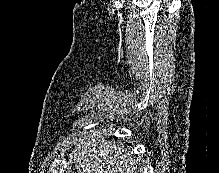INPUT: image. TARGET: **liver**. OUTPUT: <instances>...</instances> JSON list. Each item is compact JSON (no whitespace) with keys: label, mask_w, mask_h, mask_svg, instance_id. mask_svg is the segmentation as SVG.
I'll use <instances>...</instances> for the list:
<instances>
[{"label":"liver","mask_w":219,"mask_h":173,"mask_svg":"<svg viewBox=\"0 0 219 173\" xmlns=\"http://www.w3.org/2000/svg\"><path fill=\"white\" fill-rule=\"evenodd\" d=\"M126 151L123 144L116 145L96 135L81 141L70 160L77 173H138L141 171L138 160Z\"/></svg>","instance_id":"liver-1"}]
</instances>
